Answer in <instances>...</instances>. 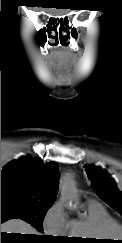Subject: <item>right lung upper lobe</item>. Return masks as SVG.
<instances>
[{
  "instance_id": "cb5924a9",
  "label": "right lung upper lobe",
  "mask_w": 122,
  "mask_h": 243,
  "mask_svg": "<svg viewBox=\"0 0 122 243\" xmlns=\"http://www.w3.org/2000/svg\"><path fill=\"white\" fill-rule=\"evenodd\" d=\"M58 190V165L31 155L10 162L1 171V196L52 203Z\"/></svg>"
}]
</instances>
